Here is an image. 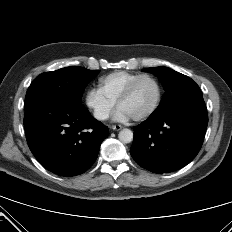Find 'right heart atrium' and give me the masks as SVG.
Segmentation results:
<instances>
[{
	"instance_id": "d8ad5b80",
	"label": "right heart atrium",
	"mask_w": 232,
	"mask_h": 232,
	"mask_svg": "<svg viewBox=\"0 0 232 232\" xmlns=\"http://www.w3.org/2000/svg\"><path fill=\"white\" fill-rule=\"evenodd\" d=\"M85 105L92 116L100 122L112 114L115 104L109 101L98 88L91 87L85 93Z\"/></svg>"
}]
</instances>
